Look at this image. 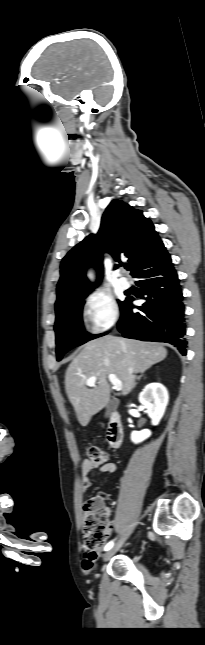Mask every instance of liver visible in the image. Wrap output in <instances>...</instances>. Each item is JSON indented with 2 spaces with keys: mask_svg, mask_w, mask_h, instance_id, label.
Wrapping results in <instances>:
<instances>
[{
  "mask_svg": "<svg viewBox=\"0 0 205 645\" xmlns=\"http://www.w3.org/2000/svg\"><path fill=\"white\" fill-rule=\"evenodd\" d=\"M166 356L167 350L163 346L138 340L108 335L87 342L65 374V390L79 423L87 426L91 417L109 403V374L122 382L125 396L134 387L135 374ZM92 376H97V381L88 388L86 381Z\"/></svg>",
  "mask_w": 205,
  "mask_h": 645,
  "instance_id": "obj_1",
  "label": "liver"
}]
</instances>
